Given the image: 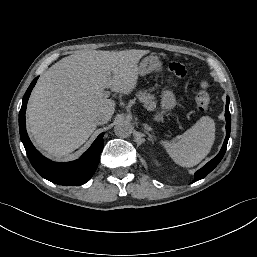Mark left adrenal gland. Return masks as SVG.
<instances>
[{"label":"left adrenal gland","mask_w":257,"mask_h":257,"mask_svg":"<svg viewBox=\"0 0 257 257\" xmlns=\"http://www.w3.org/2000/svg\"><path fill=\"white\" fill-rule=\"evenodd\" d=\"M144 129H145L146 134H147L148 137H149L148 139L153 142V136L148 132L149 129L147 128L146 125H144Z\"/></svg>","instance_id":"1"}]
</instances>
